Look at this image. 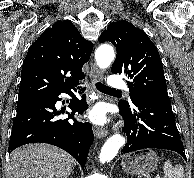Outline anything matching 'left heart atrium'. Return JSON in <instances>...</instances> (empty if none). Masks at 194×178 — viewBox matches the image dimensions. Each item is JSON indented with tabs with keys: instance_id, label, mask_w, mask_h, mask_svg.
Wrapping results in <instances>:
<instances>
[{
	"instance_id": "left-heart-atrium-1",
	"label": "left heart atrium",
	"mask_w": 194,
	"mask_h": 178,
	"mask_svg": "<svg viewBox=\"0 0 194 178\" xmlns=\"http://www.w3.org/2000/svg\"><path fill=\"white\" fill-rule=\"evenodd\" d=\"M87 118L95 124L103 125L107 122L106 112L103 107H95L88 112Z\"/></svg>"
}]
</instances>
